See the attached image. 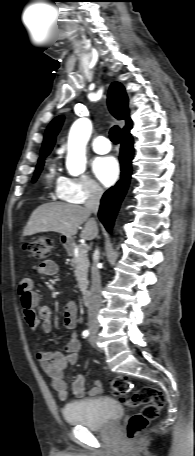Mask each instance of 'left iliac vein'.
Returning <instances> with one entry per match:
<instances>
[{
	"label": "left iliac vein",
	"mask_w": 195,
	"mask_h": 456,
	"mask_svg": "<svg viewBox=\"0 0 195 456\" xmlns=\"http://www.w3.org/2000/svg\"><path fill=\"white\" fill-rule=\"evenodd\" d=\"M89 342L92 346H95V343H96V334L95 333H91V335L89 337Z\"/></svg>",
	"instance_id": "4c4485c4"
}]
</instances>
